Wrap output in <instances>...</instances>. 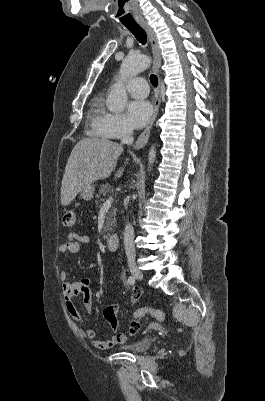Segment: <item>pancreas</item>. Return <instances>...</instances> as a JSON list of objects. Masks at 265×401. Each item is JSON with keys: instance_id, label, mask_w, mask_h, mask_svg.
Returning <instances> with one entry per match:
<instances>
[{"instance_id": "1", "label": "pancreas", "mask_w": 265, "mask_h": 401, "mask_svg": "<svg viewBox=\"0 0 265 401\" xmlns=\"http://www.w3.org/2000/svg\"><path fill=\"white\" fill-rule=\"evenodd\" d=\"M113 192V188L111 184H100V190H98L95 198H96V205H99L101 207L102 203H99L98 198H100V201H105L104 196H111ZM112 217H116V211L115 209H110L107 217V221L103 227V239H108L109 235H107L108 231H112V225H115V219H112Z\"/></svg>"}]
</instances>
